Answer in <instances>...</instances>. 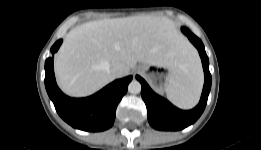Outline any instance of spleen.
<instances>
[{
    "label": "spleen",
    "instance_id": "3e777b00",
    "mask_svg": "<svg viewBox=\"0 0 261 150\" xmlns=\"http://www.w3.org/2000/svg\"><path fill=\"white\" fill-rule=\"evenodd\" d=\"M202 85L203 75L196 56L180 73L169 80L165 91L169 100L176 106L190 109L197 104Z\"/></svg>",
    "mask_w": 261,
    "mask_h": 150
}]
</instances>
